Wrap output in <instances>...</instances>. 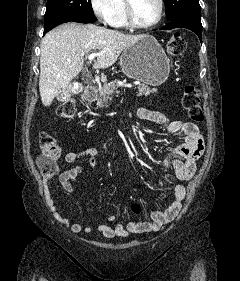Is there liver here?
I'll return each mask as SVG.
<instances>
[{
  "mask_svg": "<svg viewBox=\"0 0 240 281\" xmlns=\"http://www.w3.org/2000/svg\"><path fill=\"white\" fill-rule=\"evenodd\" d=\"M145 35H129L93 24L66 23L49 31L41 42L39 92L42 104L49 106L61 89H66L83 69L84 58L97 56L93 69L113 65L122 51Z\"/></svg>",
  "mask_w": 240,
  "mask_h": 281,
  "instance_id": "obj_1",
  "label": "liver"
}]
</instances>
